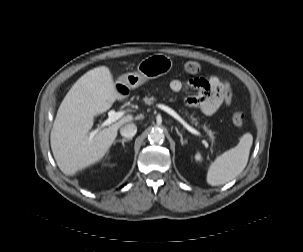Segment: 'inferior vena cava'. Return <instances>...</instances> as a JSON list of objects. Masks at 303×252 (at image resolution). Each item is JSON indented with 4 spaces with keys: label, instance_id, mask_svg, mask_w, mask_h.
<instances>
[{
    "label": "inferior vena cava",
    "instance_id": "602c4592",
    "mask_svg": "<svg viewBox=\"0 0 303 252\" xmlns=\"http://www.w3.org/2000/svg\"><path fill=\"white\" fill-rule=\"evenodd\" d=\"M137 132V127L134 123H127L120 128V134L126 138H132Z\"/></svg>",
    "mask_w": 303,
    "mask_h": 252
}]
</instances>
